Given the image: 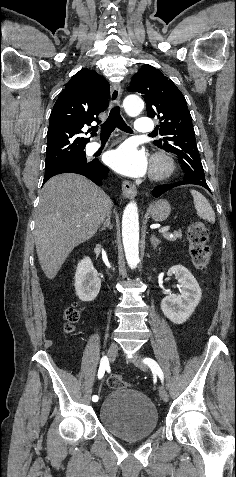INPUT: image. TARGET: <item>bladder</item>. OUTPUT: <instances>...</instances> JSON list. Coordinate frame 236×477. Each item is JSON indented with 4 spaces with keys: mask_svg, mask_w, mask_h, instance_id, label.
<instances>
[{
    "mask_svg": "<svg viewBox=\"0 0 236 477\" xmlns=\"http://www.w3.org/2000/svg\"><path fill=\"white\" fill-rule=\"evenodd\" d=\"M98 412L104 428L123 440L145 439L159 423L157 409L148 396L130 387L113 389L100 402Z\"/></svg>",
    "mask_w": 236,
    "mask_h": 477,
    "instance_id": "obj_1",
    "label": "bladder"
}]
</instances>
